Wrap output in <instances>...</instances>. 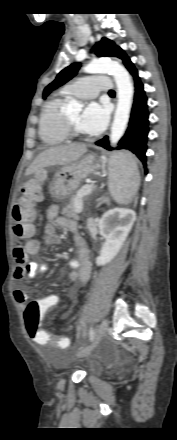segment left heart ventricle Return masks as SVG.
Listing matches in <instances>:
<instances>
[{"label":"left heart ventricle","instance_id":"b2bd125f","mask_svg":"<svg viewBox=\"0 0 177 440\" xmlns=\"http://www.w3.org/2000/svg\"><path fill=\"white\" fill-rule=\"evenodd\" d=\"M67 116L70 119V121L73 123L75 128L78 131H80L79 128H78V121H79V117H80L79 112H70V113H67Z\"/></svg>","mask_w":177,"mask_h":440}]
</instances>
